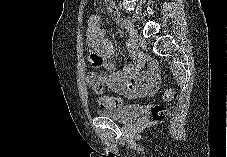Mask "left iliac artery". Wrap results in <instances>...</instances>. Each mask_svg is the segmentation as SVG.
Returning a JSON list of instances; mask_svg holds the SVG:
<instances>
[{"label": "left iliac artery", "instance_id": "obj_1", "mask_svg": "<svg viewBox=\"0 0 227 157\" xmlns=\"http://www.w3.org/2000/svg\"><path fill=\"white\" fill-rule=\"evenodd\" d=\"M120 25H121L123 28L128 29V24H127L126 21H121V22H120Z\"/></svg>", "mask_w": 227, "mask_h": 157}]
</instances>
